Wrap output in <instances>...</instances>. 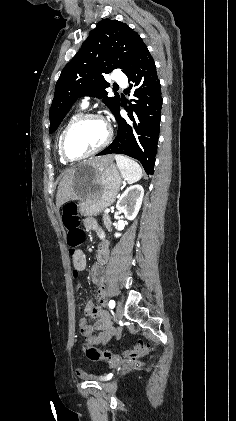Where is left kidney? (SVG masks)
I'll list each match as a JSON object with an SVG mask.
<instances>
[{"instance_id":"1","label":"left kidney","mask_w":236,"mask_h":421,"mask_svg":"<svg viewBox=\"0 0 236 421\" xmlns=\"http://www.w3.org/2000/svg\"><path fill=\"white\" fill-rule=\"evenodd\" d=\"M143 196L144 188L141 184L128 186L117 200V211L124 213L126 219H129V221H133L140 211ZM115 237H121L120 233H117Z\"/></svg>"}]
</instances>
